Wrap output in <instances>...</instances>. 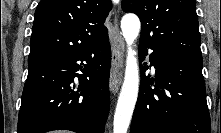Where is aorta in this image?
<instances>
[{"label":"aorta","mask_w":221,"mask_h":133,"mask_svg":"<svg viewBox=\"0 0 221 133\" xmlns=\"http://www.w3.org/2000/svg\"><path fill=\"white\" fill-rule=\"evenodd\" d=\"M141 23L134 14H126L121 20V29L127 43L124 82L118 98L113 133H127L139 91V67L132 44L138 37Z\"/></svg>","instance_id":"1"}]
</instances>
